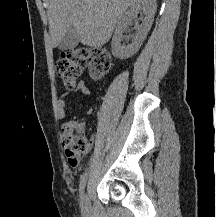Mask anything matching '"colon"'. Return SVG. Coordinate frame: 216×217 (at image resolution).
Masks as SVG:
<instances>
[{
    "instance_id": "obj_1",
    "label": "colon",
    "mask_w": 216,
    "mask_h": 217,
    "mask_svg": "<svg viewBox=\"0 0 216 217\" xmlns=\"http://www.w3.org/2000/svg\"><path fill=\"white\" fill-rule=\"evenodd\" d=\"M85 67H88L93 79H103L112 67L111 53L106 48L66 49L55 63V72L67 87H73ZM62 131L66 157L72 167H77L81 155L88 150L83 128L78 121H69L64 124Z\"/></svg>"
}]
</instances>
